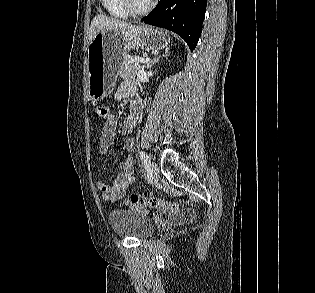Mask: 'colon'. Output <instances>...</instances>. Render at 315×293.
I'll list each match as a JSON object with an SVG mask.
<instances>
[{
    "mask_svg": "<svg viewBox=\"0 0 315 293\" xmlns=\"http://www.w3.org/2000/svg\"><path fill=\"white\" fill-rule=\"evenodd\" d=\"M95 113L100 119L105 121L109 116L110 111L106 106L98 105L95 108ZM123 204L128 207L142 206L155 208L159 211H170L174 216V220L178 222H188L192 218V212L189 210L180 211L179 205L176 202H169L155 197H147L137 193H132L126 197Z\"/></svg>",
    "mask_w": 315,
    "mask_h": 293,
    "instance_id": "colon-1",
    "label": "colon"
}]
</instances>
